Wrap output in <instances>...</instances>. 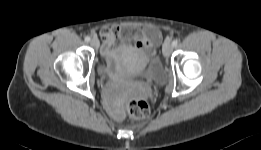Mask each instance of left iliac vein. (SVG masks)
Instances as JSON below:
<instances>
[{"label": "left iliac vein", "instance_id": "obj_1", "mask_svg": "<svg viewBox=\"0 0 261 150\" xmlns=\"http://www.w3.org/2000/svg\"><path fill=\"white\" fill-rule=\"evenodd\" d=\"M172 48H173V46H172V44H171L170 42H165V43L163 44L162 51H163L164 57L167 58V57L170 56V54H171V52H172Z\"/></svg>", "mask_w": 261, "mask_h": 150}]
</instances>
